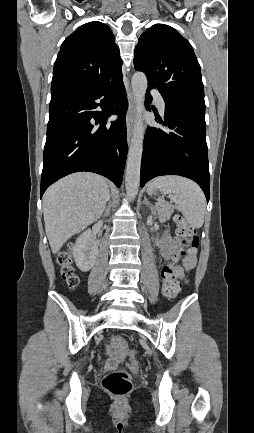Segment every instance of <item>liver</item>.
I'll return each instance as SVG.
<instances>
[{
	"mask_svg": "<svg viewBox=\"0 0 254 433\" xmlns=\"http://www.w3.org/2000/svg\"><path fill=\"white\" fill-rule=\"evenodd\" d=\"M108 199L106 178L94 173H74L49 187L43 214L52 252L58 253L71 236L97 221Z\"/></svg>",
	"mask_w": 254,
	"mask_h": 433,
	"instance_id": "1",
	"label": "liver"
}]
</instances>
